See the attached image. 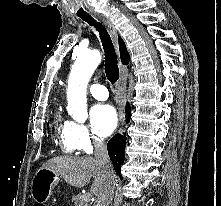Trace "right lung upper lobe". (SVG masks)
Listing matches in <instances>:
<instances>
[{
  "mask_svg": "<svg viewBox=\"0 0 221 206\" xmlns=\"http://www.w3.org/2000/svg\"><path fill=\"white\" fill-rule=\"evenodd\" d=\"M118 40H119V49H120L121 61H122L123 64L126 65V64H128L130 57H129L128 51L126 49V46H125L123 40L120 37L118 38Z\"/></svg>",
  "mask_w": 221,
  "mask_h": 206,
  "instance_id": "cb5924a9",
  "label": "right lung upper lobe"
}]
</instances>
